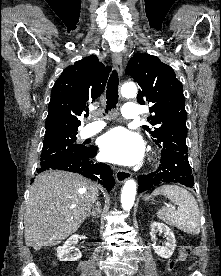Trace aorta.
<instances>
[{
  "label": "aorta",
  "instance_id": "1",
  "mask_svg": "<svg viewBox=\"0 0 221 276\" xmlns=\"http://www.w3.org/2000/svg\"><path fill=\"white\" fill-rule=\"evenodd\" d=\"M121 95L126 98H132L137 95V87L134 83H125L121 87ZM136 182L129 179L125 182L121 193V205L125 211H129L135 201Z\"/></svg>",
  "mask_w": 221,
  "mask_h": 276
}]
</instances>
